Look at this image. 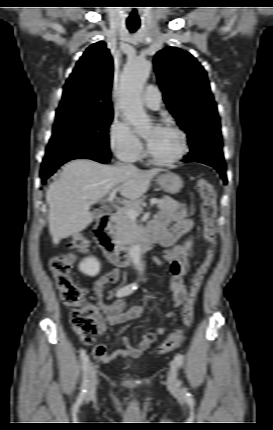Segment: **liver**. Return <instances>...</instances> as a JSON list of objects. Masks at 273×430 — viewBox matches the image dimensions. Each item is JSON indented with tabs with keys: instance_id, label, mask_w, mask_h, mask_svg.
<instances>
[{
	"instance_id": "liver-1",
	"label": "liver",
	"mask_w": 273,
	"mask_h": 430,
	"mask_svg": "<svg viewBox=\"0 0 273 430\" xmlns=\"http://www.w3.org/2000/svg\"><path fill=\"white\" fill-rule=\"evenodd\" d=\"M163 169L140 170L132 165H103L89 159H75L62 167L59 178L47 191L49 231L54 244L86 229L93 220L89 208L113 188L131 202L148 189Z\"/></svg>"
}]
</instances>
